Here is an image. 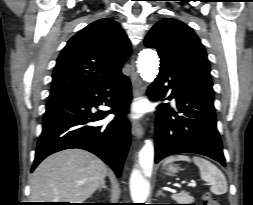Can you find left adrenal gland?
<instances>
[{
	"label": "left adrenal gland",
	"instance_id": "obj_1",
	"mask_svg": "<svg viewBox=\"0 0 253 205\" xmlns=\"http://www.w3.org/2000/svg\"><path fill=\"white\" fill-rule=\"evenodd\" d=\"M159 195H163V196H164V194H163V192H162L161 190H158V191H157L156 196H159Z\"/></svg>",
	"mask_w": 253,
	"mask_h": 205
}]
</instances>
